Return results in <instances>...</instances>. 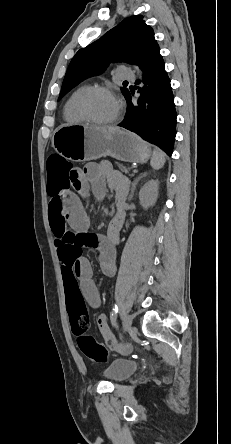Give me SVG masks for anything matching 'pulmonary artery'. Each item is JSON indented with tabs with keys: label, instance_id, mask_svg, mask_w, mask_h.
<instances>
[{
	"label": "pulmonary artery",
	"instance_id": "e3ab8cb5",
	"mask_svg": "<svg viewBox=\"0 0 231 444\" xmlns=\"http://www.w3.org/2000/svg\"><path fill=\"white\" fill-rule=\"evenodd\" d=\"M117 72H118L117 77L119 79H123V80H134L135 79L133 72L127 67H120L117 70Z\"/></svg>",
	"mask_w": 231,
	"mask_h": 444
}]
</instances>
